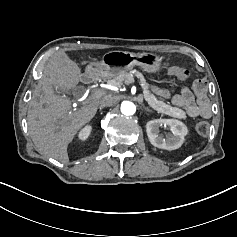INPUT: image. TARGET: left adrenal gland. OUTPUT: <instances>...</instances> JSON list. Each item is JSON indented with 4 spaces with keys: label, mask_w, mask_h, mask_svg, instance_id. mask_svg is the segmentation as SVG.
Segmentation results:
<instances>
[{
    "label": "left adrenal gland",
    "mask_w": 237,
    "mask_h": 237,
    "mask_svg": "<svg viewBox=\"0 0 237 237\" xmlns=\"http://www.w3.org/2000/svg\"><path fill=\"white\" fill-rule=\"evenodd\" d=\"M142 110L146 112H150V109L148 107H145L143 104H142Z\"/></svg>",
    "instance_id": "1"
}]
</instances>
